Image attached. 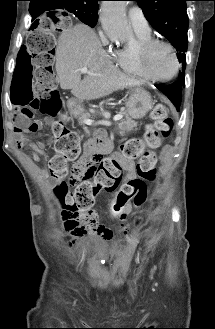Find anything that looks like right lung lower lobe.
<instances>
[{
    "instance_id": "98d812e1",
    "label": "right lung lower lobe",
    "mask_w": 215,
    "mask_h": 329,
    "mask_svg": "<svg viewBox=\"0 0 215 329\" xmlns=\"http://www.w3.org/2000/svg\"><path fill=\"white\" fill-rule=\"evenodd\" d=\"M38 9H39V6L36 3L31 2L30 7H29V12L31 15H33L32 16L33 19H34V17H36L37 13H35V11H37Z\"/></svg>"
}]
</instances>
